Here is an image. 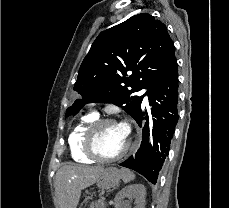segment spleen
Segmentation results:
<instances>
[{
    "instance_id": "spleen-1",
    "label": "spleen",
    "mask_w": 229,
    "mask_h": 208,
    "mask_svg": "<svg viewBox=\"0 0 229 208\" xmlns=\"http://www.w3.org/2000/svg\"><path fill=\"white\" fill-rule=\"evenodd\" d=\"M121 178L125 184H128V182H131V180H134L135 174L133 172H130V170H125V168H122L120 170Z\"/></svg>"
}]
</instances>
